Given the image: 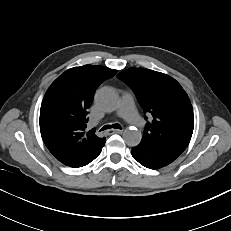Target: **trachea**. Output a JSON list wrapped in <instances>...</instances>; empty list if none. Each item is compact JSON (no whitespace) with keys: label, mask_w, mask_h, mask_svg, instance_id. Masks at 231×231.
Here are the masks:
<instances>
[{"label":"trachea","mask_w":231,"mask_h":231,"mask_svg":"<svg viewBox=\"0 0 231 231\" xmlns=\"http://www.w3.org/2000/svg\"><path fill=\"white\" fill-rule=\"evenodd\" d=\"M111 128L122 129L121 126L118 123H116V124H112V125H105L104 127L101 128L100 131L111 129Z\"/></svg>","instance_id":"3493384b"}]
</instances>
